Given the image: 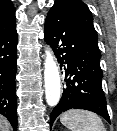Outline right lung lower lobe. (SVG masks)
Returning <instances> with one entry per match:
<instances>
[{"label":"right lung lower lobe","mask_w":117,"mask_h":131,"mask_svg":"<svg viewBox=\"0 0 117 131\" xmlns=\"http://www.w3.org/2000/svg\"><path fill=\"white\" fill-rule=\"evenodd\" d=\"M16 27L0 36V114L4 115L17 130L16 82L17 70Z\"/></svg>","instance_id":"1"}]
</instances>
